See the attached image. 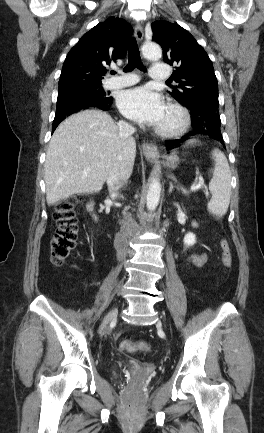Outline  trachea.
<instances>
[{
	"label": "trachea",
	"mask_w": 264,
	"mask_h": 433,
	"mask_svg": "<svg viewBox=\"0 0 264 433\" xmlns=\"http://www.w3.org/2000/svg\"><path fill=\"white\" fill-rule=\"evenodd\" d=\"M133 68H138L141 71H145V67L143 66L140 58V52L137 45V41L134 38L130 39L129 42V56H128V64L124 68V72H129ZM111 74H115V71H111Z\"/></svg>",
	"instance_id": "trachea-1"
}]
</instances>
